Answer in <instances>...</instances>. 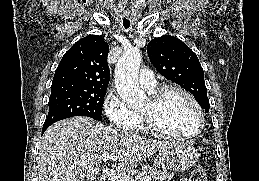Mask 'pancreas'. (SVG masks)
<instances>
[{
  "label": "pancreas",
  "mask_w": 259,
  "mask_h": 181,
  "mask_svg": "<svg viewBox=\"0 0 259 181\" xmlns=\"http://www.w3.org/2000/svg\"><path fill=\"white\" fill-rule=\"evenodd\" d=\"M135 174L141 178L149 177L153 178L155 181H171L174 177L173 172H168L167 170H159L155 167L142 166L135 171Z\"/></svg>",
  "instance_id": "pancreas-1"
}]
</instances>
